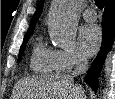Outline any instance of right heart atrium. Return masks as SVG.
I'll list each match as a JSON object with an SVG mask.
<instances>
[{
	"label": "right heart atrium",
	"instance_id": "d8ad5b80",
	"mask_svg": "<svg viewBox=\"0 0 115 99\" xmlns=\"http://www.w3.org/2000/svg\"><path fill=\"white\" fill-rule=\"evenodd\" d=\"M55 60L59 71H70L85 60L78 48L55 50Z\"/></svg>",
	"mask_w": 115,
	"mask_h": 99
}]
</instances>
